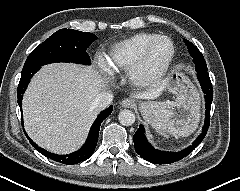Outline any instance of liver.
Returning a JSON list of instances; mask_svg holds the SVG:
<instances>
[{"label":"liver","mask_w":240,"mask_h":191,"mask_svg":"<svg viewBox=\"0 0 240 191\" xmlns=\"http://www.w3.org/2000/svg\"><path fill=\"white\" fill-rule=\"evenodd\" d=\"M105 83L94 67L73 63L43 66L32 78L22 101L29 137L56 154H68L80 148L98 114L91 104L107 89ZM164 87L165 82L134 97L155 99Z\"/></svg>","instance_id":"liver-1"}]
</instances>
